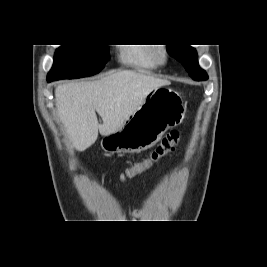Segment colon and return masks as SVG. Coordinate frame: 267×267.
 I'll use <instances>...</instances> for the list:
<instances>
[{"label": "colon", "instance_id": "5ec220e1", "mask_svg": "<svg viewBox=\"0 0 267 267\" xmlns=\"http://www.w3.org/2000/svg\"><path fill=\"white\" fill-rule=\"evenodd\" d=\"M181 137L182 132L180 130L169 132L152 150L147 159L135 163L128 169H121L119 175H114V180H121V178H123V182H130V178H138V173L150 168L154 163L174 151L178 146Z\"/></svg>", "mask_w": 267, "mask_h": 267}]
</instances>
